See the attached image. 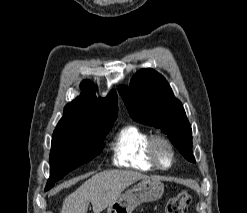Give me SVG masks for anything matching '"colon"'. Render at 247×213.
Here are the masks:
<instances>
[{
	"mask_svg": "<svg viewBox=\"0 0 247 213\" xmlns=\"http://www.w3.org/2000/svg\"><path fill=\"white\" fill-rule=\"evenodd\" d=\"M190 203V197L183 191L174 197H171L165 206V213H187Z\"/></svg>",
	"mask_w": 247,
	"mask_h": 213,
	"instance_id": "obj_1",
	"label": "colon"
}]
</instances>
